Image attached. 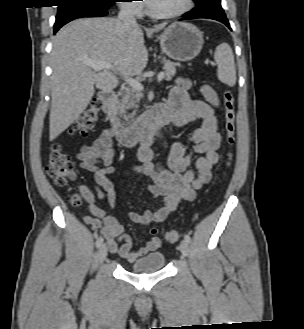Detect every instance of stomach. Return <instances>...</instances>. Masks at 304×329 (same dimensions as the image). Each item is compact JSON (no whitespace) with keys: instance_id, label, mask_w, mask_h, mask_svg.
Masks as SVG:
<instances>
[{"instance_id":"obj_1","label":"stomach","mask_w":304,"mask_h":329,"mask_svg":"<svg viewBox=\"0 0 304 329\" xmlns=\"http://www.w3.org/2000/svg\"><path fill=\"white\" fill-rule=\"evenodd\" d=\"M160 46L169 58L176 61L194 59L203 47V33L193 24L176 22L160 35Z\"/></svg>"}]
</instances>
